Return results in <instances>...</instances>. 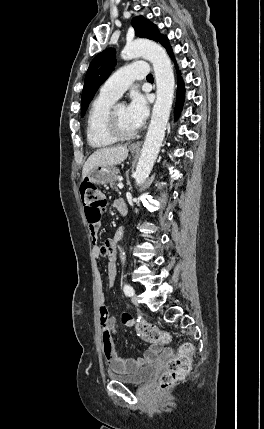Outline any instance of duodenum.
<instances>
[{
  "instance_id": "1",
  "label": "duodenum",
  "mask_w": 264,
  "mask_h": 429,
  "mask_svg": "<svg viewBox=\"0 0 264 429\" xmlns=\"http://www.w3.org/2000/svg\"><path fill=\"white\" fill-rule=\"evenodd\" d=\"M117 210L121 215H126L127 214V206L124 202H121L118 204L117 206Z\"/></svg>"
}]
</instances>
